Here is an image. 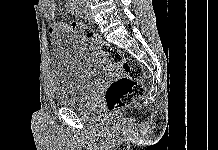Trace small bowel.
<instances>
[{
    "mask_svg": "<svg viewBox=\"0 0 218 150\" xmlns=\"http://www.w3.org/2000/svg\"><path fill=\"white\" fill-rule=\"evenodd\" d=\"M67 9L69 13H76L77 6L75 0H69L67 4ZM43 11L46 19L51 21L48 31L51 35L68 32L70 30V25L65 22L55 23L53 22L57 17V8L54 0H43Z\"/></svg>",
    "mask_w": 218,
    "mask_h": 150,
    "instance_id": "small-bowel-1",
    "label": "small bowel"
}]
</instances>
